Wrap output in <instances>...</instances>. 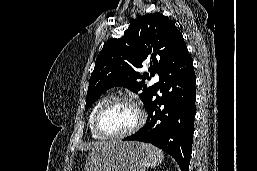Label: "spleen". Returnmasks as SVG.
<instances>
[{"label": "spleen", "mask_w": 257, "mask_h": 171, "mask_svg": "<svg viewBox=\"0 0 257 171\" xmlns=\"http://www.w3.org/2000/svg\"><path fill=\"white\" fill-rule=\"evenodd\" d=\"M143 146L147 149L149 153L150 167L154 168L163 161L164 154L161 150L150 144H143Z\"/></svg>", "instance_id": "obj_1"}]
</instances>
